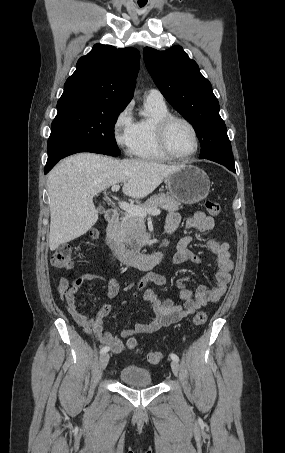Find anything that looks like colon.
Here are the masks:
<instances>
[{"label":"colon","mask_w":285,"mask_h":453,"mask_svg":"<svg viewBox=\"0 0 285 453\" xmlns=\"http://www.w3.org/2000/svg\"><path fill=\"white\" fill-rule=\"evenodd\" d=\"M205 208L211 216H217L221 212V206L218 202L207 200L205 201ZM97 230L93 229L90 231V236H97ZM51 264L53 267L64 270H71L74 267V259L72 255V248L69 245H62L58 247L51 256ZM207 320V313L204 310H199L193 321L196 325H203ZM127 346L130 349H135L137 346V341L134 337H130L127 340ZM163 355L161 352L152 351L147 355V361L156 365L161 362Z\"/></svg>","instance_id":"1"}]
</instances>
